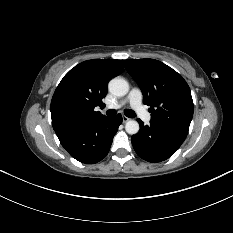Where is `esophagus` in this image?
Listing matches in <instances>:
<instances>
[{"label": "esophagus", "instance_id": "esophagus-1", "mask_svg": "<svg viewBox=\"0 0 233 233\" xmlns=\"http://www.w3.org/2000/svg\"><path fill=\"white\" fill-rule=\"evenodd\" d=\"M130 119L127 116H122L123 123L128 122Z\"/></svg>", "mask_w": 233, "mask_h": 233}]
</instances>
